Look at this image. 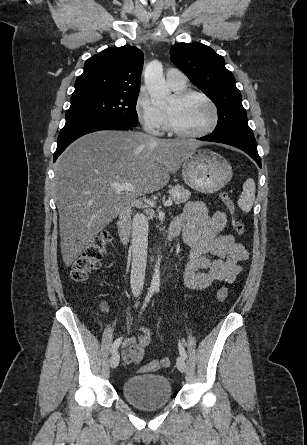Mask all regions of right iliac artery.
Masks as SVG:
<instances>
[{
    "label": "right iliac artery",
    "instance_id": "1",
    "mask_svg": "<svg viewBox=\"0 0 307 445\" xmlns=\"http://www.w3.org/2000/svg\"><path fill=\"white\" fill-rule=\"evenodd\" d=\"M152 295H153V291L151 290V291L148 292V294H147V296L145 298V301H144L143 306H142V311L147 306V303L150 301V298L152 297ZM142 311L140 313H142ZM121 340H122V337H120V338H118L117 340L114 341V343L112 345V348H111V352L112 353H114L117 350V348L119 347V345L121 343Z\"/></svg>",
    "mask_w": 307,
    "mask_h": 445
}]
</instances>
